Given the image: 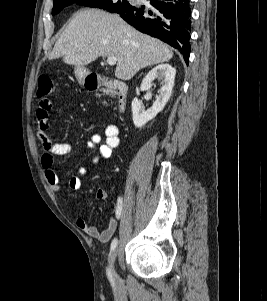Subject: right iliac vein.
Returning <instances> with one entry per match:
<instances>
[{
	"mask_svg": "<svg viewBox=\"0 0 267 301\" xmlns=\"http://www.w3.org/2000/svg\"><path fill=\"white\" fill-rule=\"evenodd\" d=\"M116 256H117V251L113 250L112 253L109 255V265H110V269L114 275L115 278H117V274L115 272V260H116Z\"/></svg>",
	"mask_w": 267,
	"mask_h": 301,
	"instance_id": "obj_1",
	"label": "right iliac vein"
}]
</instances>
